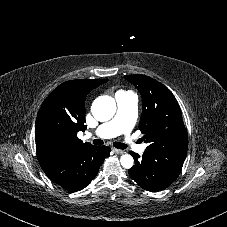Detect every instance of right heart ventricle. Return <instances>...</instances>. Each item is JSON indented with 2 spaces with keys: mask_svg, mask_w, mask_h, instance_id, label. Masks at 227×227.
<instances>
[{
  "mask_svg": "<svg viewBox=\"0 0 227 227\" xmlns=\"http://www.w3.org/2000/svg\"><path fill=\"white\" fill-rule=\"evenodd\" d=\"M128 92H131V91H126L124 89H120L119 91L116 92V94H120V93H128ZM115 94V95H116Z\"/></svg>",
  "mask_w": 227,
  "mask_h": 227,
  "instance_id": "right-heart-ventricle-1",
  "label": "right heart ventricle"
}]
</instances>
